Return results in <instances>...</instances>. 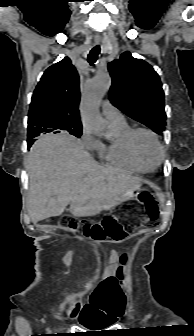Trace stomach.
Wrapping results in <instances>:
<instances>
[{
  "instance_id": "0dacf381",
  "label": "stomach",
  "mask_w": 194,
  "mask_h": 336,
  "mask_svg": "<svg viewBox=\"0 0 194 336\" xmlns=\"http://www.w3.org/2000/svg\"><path fill=\"white\" fill-rule=\"evenodd\" d=\"M138 189L133 191L129 196H127L126 198H133L137 195Z\"/></svg>"
}]
</instances>
